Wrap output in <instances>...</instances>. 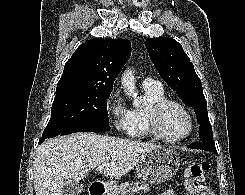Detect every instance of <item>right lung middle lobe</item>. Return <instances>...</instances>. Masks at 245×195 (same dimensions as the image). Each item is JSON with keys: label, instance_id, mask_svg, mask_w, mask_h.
I'll list each match as a JSON object with an SVG mask.
<instances>
[{"label": "right lung middle lobe", "instance_id": "right-lung-middle-lobe-1", "mask_svg": "<svg viewBox=\"0 0 245 195\" xmlns=\"http://www.w3.org/2000/svg\"><path fill=\"white\" fill-rule=\"evenodd\" d=\"M110 91L79 89L56 92L51 118L40 141L90 123L109 124L107 100Z\"/></svg>", "mask_w": 245, "mask_h": 195}]
</instances>
